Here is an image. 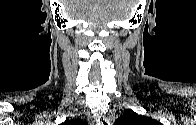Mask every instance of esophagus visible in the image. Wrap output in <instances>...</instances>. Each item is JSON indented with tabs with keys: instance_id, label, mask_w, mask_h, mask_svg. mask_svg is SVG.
I'll use <instances>...</instances> for the list:
<instances>
[{
	"instance_id": "34e87169",
	"label": "esophagus",
	"mask_w": 196,
	"mask_h": 125,
	"mask_svg": "<svg viewBox=\"0 0 196 125\" xmlns=\"http://www.w3.org/2000/svg\"><path fill=\"white\" fill-rule=\"evenodd\" d=\"M96 123H97V125H110L108 119H106L104 116L97 118Z\"/></svg>"
}]
</instances>
